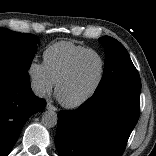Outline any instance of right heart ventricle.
Here are the masks:
<instances>
[{"mask_svg": "<svg viewBox=\"0 0 156 156\" xmlns=\"http://www.w3.org/2000/svg\"><path fill=\"white\" fill-rule=\"evenodd\" d=\"M90 48L69 41H60L50 45L43 54L44 65L56 83L69 67L73 59L81 52Z\"/></svg>", "mask_w": 156, "mask_h": 156, "instance_id": "1", "label": "right heart ventricle"}]
</instances>
